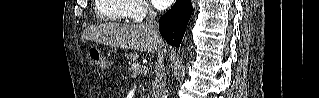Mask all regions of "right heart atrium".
Returning <instances> with one entry per match:
<instances>
[{
    "instance_id": "d8ad5b80",
    "label": "right heart atrium",
    "mask_w": 319,
    "mask_h": 98,
    "mask_svg": "<svg viewBox=\"0 0 319 98\" xmlns=\"http://www.w3.org/2000/svg\"><path fill=\"white\" fill-rule=\"evenodd\" d=\"M153 14V9L145 0L131 1V10L128 17L132 19H140L142 17L150 16Z\"/></svg>"
}]
</instances>
